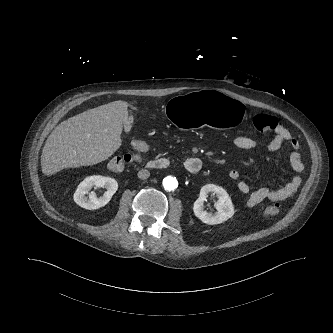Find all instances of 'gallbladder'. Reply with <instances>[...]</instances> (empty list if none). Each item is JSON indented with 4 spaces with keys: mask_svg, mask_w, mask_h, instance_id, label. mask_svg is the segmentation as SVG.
Wrapping results in <instances>:
<instances>
[{
    "mask_svg": "<svg viewBox=\"0 0 333 333\" xmlns=\"http://www.w3.org/2000/svg\"><path fill=\"white\" fill-rule=\"evenodd\" d=\"M133 122V116L127 115V117L123 121V129L126 133H129L131 131Z\"/></svg>",
    "mask_w": 333,
    "mask_h": 333,
    "instance_id": "bac80fb5",
    "label": "gallbladder"
}]
</instances>
